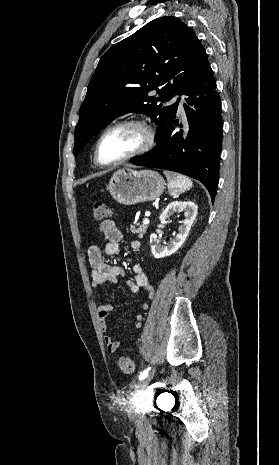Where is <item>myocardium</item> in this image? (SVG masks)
<instances>
[{"mask_svg": "<svg viewBox=\"0 0 279 465\" xmlns=\"http://www.w3.org/2000/svg\"><path fill=\"white\" fill-rule=\"evenodd\" d=\"M127 126H135V127H139L140 129L143 130L144 132V141L142 143V145L136 149L135 151L131 152L130 154L118 159V160H115V161H112V162H104L101 160L100 158V146H101V143L104 139V137L111 131L115 130V129H118V128H121V127H127ZM155 141H156V133H155V130L154 128L152 127V125L144 120V119H128V120H124V121H120V122H117L109 127H107L102 133L101 135L99 136L97 142H96V145H95V151H94V156H95V160L97 162V164H99L100 166H104V167H110V166H116V165H119V164H122L126 161H129L135 157H138V156H141L145 153H147L148 151H150L153 146L155 145Z\"/></svg>", "mask_w": 279, "mask_h": 465, "instance_id": "1", "label": "myocardium"}]
</instances>
